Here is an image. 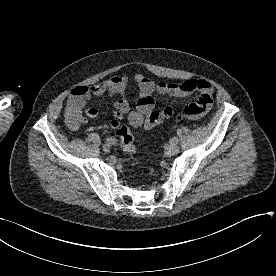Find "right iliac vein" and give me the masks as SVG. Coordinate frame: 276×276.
Instances as JSON below:
<instances>
[{"label":"right iliac vein","instance_id":"1","mask_svg":"<svg viewBox=\"0 0 276 276\" xmlns=\"http://www.w3.org/2000/svg\"><path fill=\"white\" fill-rule=\"evenodd\" d=\"M110 148H111V146H110L109 143H105V144L103 145V150H104L105 152H109V151H110Z\"/></svg>","mask_w":276,"mask_h":276}]
</instances>
